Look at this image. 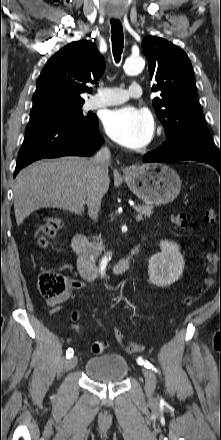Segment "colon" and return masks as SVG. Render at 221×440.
<instances>
[{"instance_id":"colon-1","label":"colon","mask_w":221,"mask_h":440,"mask_svg":"<svg viewBox=\"0 0 221 440\" xmlns=\"http://www.w3.org/2000/svg\"><path fill=\"white\" fill-rule=\"evenodd\" d=\"M207 221H213L215 214L212 210H208L205 215ZM173 223L182 228H186L192 225V216L187 212H179L173 215ZM61 223L58 219L50 217L47 218L44 223L39 228L38 245L40 248H44L47 244L48 239L55 236L59 231ZM207 260V278L202 287L198 291L190 296H187L183 304L185 307H191L194 305L202 296L206 294L208 289L214 284L215 277L221 270V247L220 251L217 249L211 250L206 255ZM38 287L39 292L45 299H55L60 297L65 293L68 288V281L66 278L60 274L45 271L42 272L38 277ZM112 338L117 339V341L125 347L129 353H139L144 347L139 344L129 342L124 336L123 331L119 330L117 325H112ZM108 341L106 340H96L92 343L91 350L94 354L100 355L108 349Z\"/></svg>"}]
</instances>
